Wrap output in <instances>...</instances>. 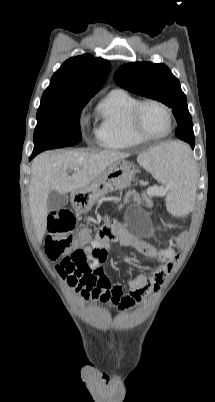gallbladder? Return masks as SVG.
Segmentation results:
<instances>
[{"label":"gallbladder","mask_w":215,"mask_h":402,"mask_svg":"<svg viewBox=\"0 0 215 402\" xmlns=\"http://www.w3.org/2000/svg\"><path fill=\"white\" fill-rule=\"evenodd\" d=\"M68 200L69 198L67 194H62L55 190H51L47 199V208L48 210L60 209L67 205Z\"/></svg>","instance_id":"1"}]
</instances>
